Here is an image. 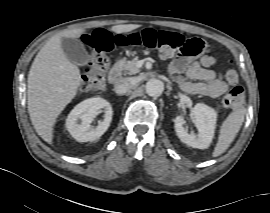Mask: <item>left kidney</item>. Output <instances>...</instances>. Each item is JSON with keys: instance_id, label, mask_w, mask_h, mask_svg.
<instances>
[{"instance_id": "left-kidney-1", "label": "left kidney", "mask_w": 270, "mask_h": 213, "mask_svg": "<svg viewBox=\"0 0 270 213\" xmlns=\"http://www.w3.org/2000/svg\"><path fill=\"white\" fill-rule=\"evenodd\" d=\"M194 124L197 134L188 133L183 126V119L177 116L174 119V128L178 138L188 146L198 149H206L210 146L216 127V111L202 103L193 107Z\"/></svg>"}]
</instances>
